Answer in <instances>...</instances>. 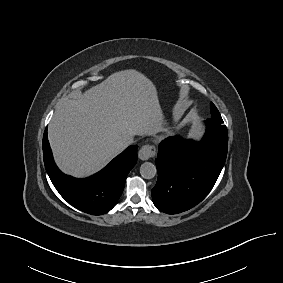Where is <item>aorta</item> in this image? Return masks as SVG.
Instances as JSON below:
<instances>
[{"mask_svg": "<svg viewBox=\"0 0 283 283\" xmlns=\"http://www.w3.org/2000/svg\"><path fill=\"white\" fill-rule=\"evenodd\" d=\"M157 173L156 167L151 162H144L140 167V174L145 179H152Z\"/></svg>", "mask_w": 283, "mask_h": 283, "instance_id": "762f6f07", "label": "aorta"}]
</instances>
